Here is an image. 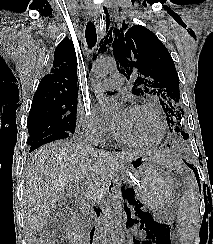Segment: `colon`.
<instances>
[{
	"instance_id": "obj_1",
	"label": "colon",
	"mask_w": 213,
	"mask_h": 244,
	"mask_svg": "<svg viewBox=\"0 0 213 244\" xmlns=\"http://www.w3.org/2000/svg\"><path fill=\"white\" fill-rule=\"evenodd\" d=\"M179 111H176L178 113ZM38 244H54V237L50 233H46L40 237ZM136 244H145V242H137Z\"/></svg>"
}]
</instances>
